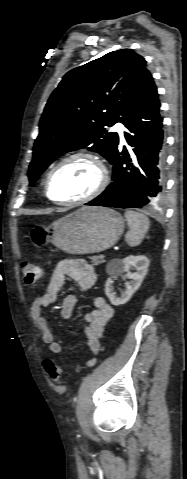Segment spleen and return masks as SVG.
<instances>
[{"label": "spleen", "mask_w": 187, "mask_h": 479, "mask_svg": "<svg viewBox=\"0 0 187 479\" xmlns=\"http://www.w3.org/2000/svg\"><path fill=\"white\" fill-rule=\"evenodd\" d=\"M125 218L128 222L130 230L127 232L125 239L129 246H138L150 227L149 218L136 211L127 210Z\"/></svg>", "instance_id": "3e777b00"}]
</instances>
